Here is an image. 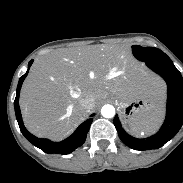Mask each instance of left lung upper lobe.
Listing matches in <instances>:
<instances>
[{
  "mask_svg": "<svg viewBox=\"0 0 183 183\" xmlns=\"http://www.w3.org/2000/svg\"><path fill=\"white\" fill-rule=\"evenodd\" d=\"M134 56L140 61H152L168 57L164 52L157 48H147L134 45L132 46Z\"/></svg>",
  "mask_w": 183,
  "mask_h": 183,
  "instance_id": "5c2ea615",
  "label": "left lung upper lobe"
}]
</instances>
